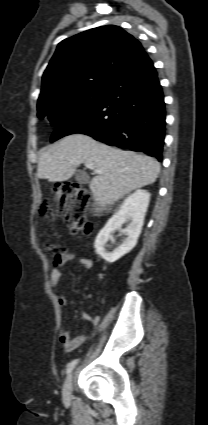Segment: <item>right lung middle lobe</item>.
Wrapping results in <instances>:
<instances>
[{
	"label": "right lung middle lobe",
	"instance_id": "right-lung-middle-lobe-1",
	"mask_svg": "<svg viewBox=\"0 0 208 425\" xmlns=\"http://www.w3.org/2000/svg\"><path fill=\"white\" fill-rule=\"evenodd\" d=\"M106 89H83L60 97L39 101L38 117L57 125L64 117L76 114L100 102Z\"/></svg>",
	"mask_w": 208,
	"mask_h": 425
}]
</instances>
